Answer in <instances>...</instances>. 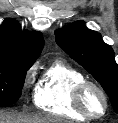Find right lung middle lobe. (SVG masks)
I'll return each instance as SVG.
<instances>
[{"instance_id": "dd1d6c3e", "label": "right lung middle lobe", "mask_w": 118, "mask_h": 123, "mask_svg": "<svg viewBox=\"0 0 118 123\" xmlns=\"http://www.w3.org/2000/svg\"><path fill=\"white\" fill-rule=\"evenodd\" d=\"M28 69L18 62L0 59V104H11L20 98Z\"/></svg>"}]
</instances>
